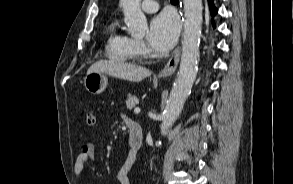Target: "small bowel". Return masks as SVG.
<instances>
[{
  "label": "small bowel",
  "instance_id": "1",
  "mask_svg": "<svg viewBox=\"0 0 293 184\" xmlns=\"http://www.w3.org/2000/svg\"><path fill=\"white\" fill-rule=\"evenodd\" d=\"M95 146L92 142H85L82 145L81 151L78 154L74 163V173L79 179L84 171L86 165L94 161ZM137 154L128 152L124 162L117 172V180L119 184H131L130 171L136 161Z\"/></svg>",
  "mask_w": 293,
  "mask_h": 184
}]
</instances>
